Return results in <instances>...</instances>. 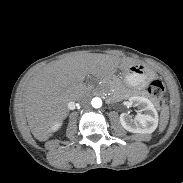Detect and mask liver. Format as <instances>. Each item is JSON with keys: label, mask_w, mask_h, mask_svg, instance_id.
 Returning <instances> with one entry per match:
<instances>
[{"label": "liver", "mask_w": 183, "mask_h": 183, "mask_svg": "<svg viewBox=\"0 0 183 183\" xmlns=\"http://www.w3.org/2000/svg\"><path fill=\"white\" fill-rule=\"evenodd\" d=\"M135 61L117 56L80 52L50 62L27 82L23 105L33 136L46 141L51 127L68 115L67 104L78 99L89 74L106 77L117 68L126 69Z\"/></svg>", "instance_id": "liver-1"}]
</instances>
